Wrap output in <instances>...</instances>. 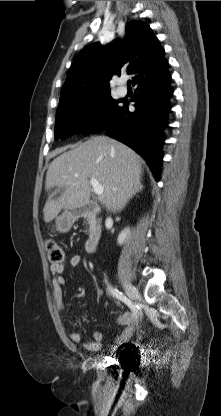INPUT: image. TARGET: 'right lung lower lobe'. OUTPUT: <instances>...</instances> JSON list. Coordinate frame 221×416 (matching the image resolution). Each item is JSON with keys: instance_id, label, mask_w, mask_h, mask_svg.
I'll use <instances>...</instances> for the list:
<instances>
[{"instance_id": "98d812e1", "label": "right lung lower lobe", "mask_w": 221, "mask_h": 416, "mask_svg": "<svg viewBox=\"0 0 221 416\" xmlns=\"http://www.w3.org/2000/svg\"><path fill=\"white\" fill-rule=\"evenodd\" d=\"M171 76L167 69L143 77L136 84L135 111L127 109L128 102L120 101L109 122L101 129L133 148L151 168L156 180L160 179L161 147L164 137L161 129L167 126V114L171 108L169 98L173 90L169 86Z\"/></svg>"}]
</instances>
